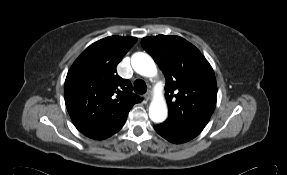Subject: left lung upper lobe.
<instances>
[{
  "label": "left lung upper lobe",
  "mask_w": 287,
  "mask_h": 175,
  "mask_svg": "<svg viewBox=\"0 0 287 175\" xmlns=\"http://www.w3.org/2000/svg\"><path fill=\"white\" fill-rule=\"evenodd\" d=\"M141 45L166 79L169 116L163 124L195 138L216 106L217 83L211 65L194 45L179 36L145 37Z\"/></svg>",
  "instance_id": "obj_1"
}]
</instances>
